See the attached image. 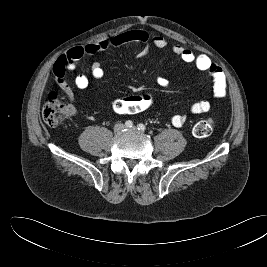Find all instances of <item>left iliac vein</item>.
Listing matches in <instances>:
<instances>
[{"label":"left iliac vein","instance_id":"obj_1","mask_svg":"<svg viewBox=\"0 0 267 267\" xmlns=\"http://www.w3.org/2000/svg\"><path fill=\"white\" fill-rule=\"evenodd\" d=\"M130 130L134 132L138 131L136 127H132Z\"/></svg>","mask_w":267,"mask_h":267}]
</instances>
